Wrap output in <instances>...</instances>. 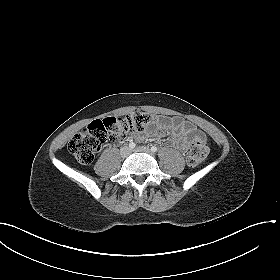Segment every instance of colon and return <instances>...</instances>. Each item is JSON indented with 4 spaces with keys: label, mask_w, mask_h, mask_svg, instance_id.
<instances>
[{
    "label": "colon",
    "mask_w": 280,
    "mask_h": 280,
    "mask_svg": "<svg viewBox=\"0 0 280 280\" xmlns=\"http://www.w3.org/2000/svg\"><path fill=\"white\" fill-rule=\"evenodd\" d=\"M157 121L158 116L148 112H135L125 117L96 120L72 137L68 149L79 163L89 164L107 142H119L128 134L140 132ZM208 151L205 138L195 137L188 151V164L190 166L200 164L206 158Z\"/></svg>",
    "instance_id": "1"
}]
</instances>
